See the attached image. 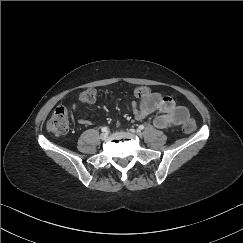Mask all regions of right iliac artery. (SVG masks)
Instances as JSON below:
<instances>
[{
	"label": "right iliac artery",
	"mask_w": 243,
	"mask_h": 243,
	"mask_svg": "<svg viewBox=\"0 0 243 243\" xmlns=\"http://www.w3.org/2000/svg\"><path fill=\"white\" fill-rule=\"evenodd\" d=\"M108 130H109L108 127H103V128L101 129L102 132H108Z\"/></svg>",
	"instance_id": "82829eb1"
}]
</instances>
